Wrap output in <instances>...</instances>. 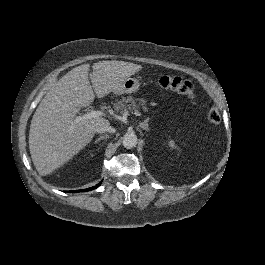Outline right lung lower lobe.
Returning a JSON list of instances; mask_svg holds the SVG:
<instances>
[{"label":"right lung lower lobe","mask_w":265,"mask_h":265,"mask_svg":"<svg viewBox=\"0 0 265 265\" xmlns=\"http://www.w3.org/2000/svg\"><path fill=\"white\" fill-rule=\"evenodd\" d=\"M101 183L97 184L96 186L94 187H91V188H87V189H82V190H76V191H70V192H83V191H90V190H93L95 188H97Z\"/></svg>","instance_id":"right-lung-lower-lobe-1"}]
</instances>
